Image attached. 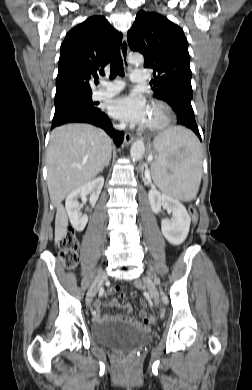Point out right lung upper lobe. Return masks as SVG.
<instances>
[{
    "label": "right lung upper lobe",
    "instance_id": "cb5924a9",
    "mask_svg": "<svg viewBox=\"0 0 252 390\" xmlns=\"http://www.w3.org/2000/svg\"><path fill=\"white\" fill-rule=\"evenodd\" d=\"M122 34L103 16H93L70 30L60 47L55 101L92 94L89 81L109 63Z\"/></svg>",
    "mask_w": 252,
    "mask_h": 390
}]
</instances>
